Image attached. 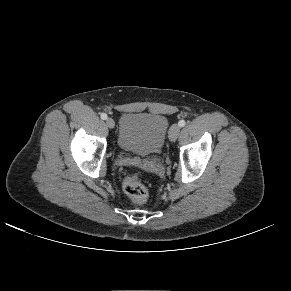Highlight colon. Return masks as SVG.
Instances as JSON below:
<instances>
[{
    "instance_id": "5ec220e1",
    "label": "colon",
    "mask_w": 291,
    "mask_h": 291,
    "mask_svg": "<svg viewBox=\"0 0 291 291\" xmlns=\"http://www.w3.org/2000/svg\"><path fill=\"white\" fill-rule=\"evenodd\" d=\"M122 188L134 203L142 204L148 198V188L137 175H127L123 179Z\"/></svg>"
}]
</instances>
